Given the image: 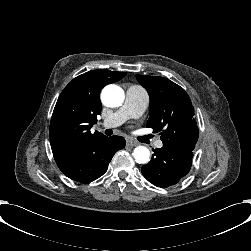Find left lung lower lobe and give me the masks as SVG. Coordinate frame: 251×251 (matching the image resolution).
Returning <instances> with one entry per match:
<instances>
[{"label": "left lung lower lobe", "instance_id": "1", "mask_svg": "<svg viewBox=\"0 0 251 251\" xmlns=\"http://www.w3.org/2000/svg\"><path fill=\"white\" fill-rule=\"evenodd\" d=\"M153 151L151 161L142 166V174L155 186L166 188L175 185L189 173L193 151L166 147Z\"/></svg>", "mask_w": 251, "mask_h": 251}]
</instances>
